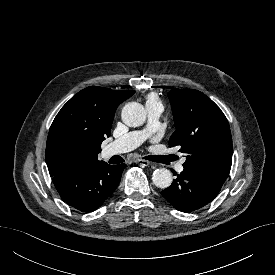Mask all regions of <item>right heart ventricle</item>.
Instances as JSON below:
<instances>
[{"label": "right heart ventricle", "mask_w": 275, "mask_h": 275, "mask_svg": "<svg viewBox=\"0 0 275 275\" xmlns=\"http://www.w3.org/2000/svg\"><path fill=\"white\" fill-rule=\"evenodd\" d=\"M148 101H158V99L156 98L155 95H149L148 98H147V102Z\"/></svg>", "instance_id": "e07e8e85"}]
</instances>
